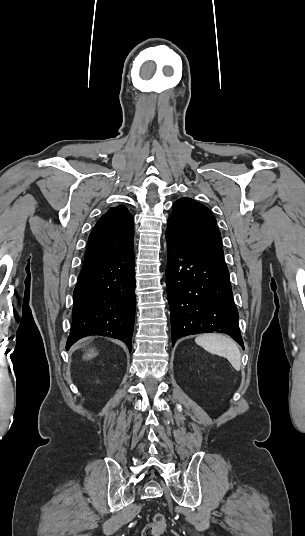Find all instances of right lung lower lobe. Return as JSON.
Wrapping results in <instances>:
<instances>
[{"label": "right lung lower lobe", "instance_id": "right-lung-lower-lobe-1", "mask_svg": "<svg viewBox=\"0 0 305 536\" xmlns=\"http://www.w3.org/2000/svg\"><path fill=\"white\" fill-rule=\"evenodd\" d=\"M73 299L67 350L87 335L122 340L131 350L136 306L134 250L84 262Z\"/></svg>", "mask_w": 305, "mask_h": 536}]
</instances>
